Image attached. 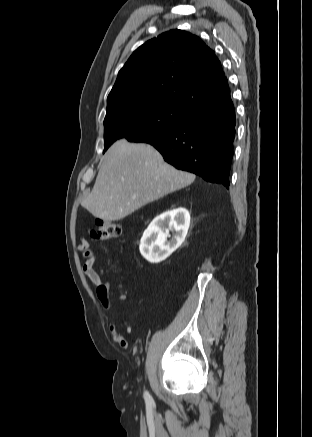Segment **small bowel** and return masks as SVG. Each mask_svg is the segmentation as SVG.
<instances>
[{"mask_svg":"<svg viewBox=\"0 0 312 437\" xmlns=\"http://www.w3.org/2000/svg\"><path fill=\"white\" fill-rule=\"evenodd\" d=\"M78 251L81 253L85 261L82 265V270L88 281L96 287V294L103 306V308L109 313H112V302L110 285L104 282L99 273L95 270L94 265L97 260L96 252L90 247L88 241L84 238H80V243L77 246ZM109 332L112 339L122 348L129 347V341L120 334L116 321L113 320L109 327Z\"/></svg>","mask_w":312,"mask_h":437,"instance_id":"1","label":"small bowel"}]
</instances>
